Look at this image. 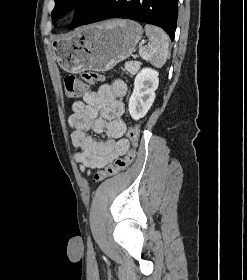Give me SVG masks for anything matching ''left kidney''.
<instances>
[{"mask_svg": "<svg viewBox=\"0 0 247 280\" xmlns=\"http://www.w3.org/2000/svg\"><path fill=\"white\" fill-rule=\"evenodd\" d=\"M158 85V72L154 69L144 68L135 77L128 105L129 113L134 120H139L147 114L155 100Z\"/></svg>", "mask_w": 247, "mask_h": 280, "instance_id": "left-kidney-1", "label": "left kidney"}]
</instances>
